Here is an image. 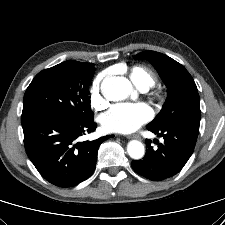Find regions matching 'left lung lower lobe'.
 Returning <instances> with one entry per match:
<instances>
[{
	"label": "left lung lower lobe",
	"instance_id": "1",
	"mask_svg": "<svg viewBox=\"0 0 225 225\" xmlns=\"http://www.w3.org/2000/svg\"><path fill=\"white\" fill-rule=\"evenodd\" d=\"M147 129L164 142L153 149L151 140L146 139V154L142 160L132 161L133 169L153 181L164 180L177 174L186 164L194 151L199 130L170 126L161 129Z\"/></svg>",
	"mask_w": 225,
	"mask_h": 225
}]
</instances>
